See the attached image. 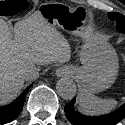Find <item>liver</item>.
<instances>
[{
  "label": "liver",
  "mask_w": 125,
  "mask_h": 125,
  "mask_svg": "<svg viewBox=\"0 0 125 125\" xmlns=\"http://www.w3.org/2000/svg\"><path fill=\"white\" fill-rule=\"evenodd\" d=\"M13 34L0 19V106L19 95L26 71L53 62L65 63L71 57L67 40L40 12L17 22Z\"/></svg>",
  "instance_id": "6515ba94"
}]
</instances>
